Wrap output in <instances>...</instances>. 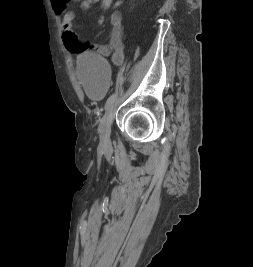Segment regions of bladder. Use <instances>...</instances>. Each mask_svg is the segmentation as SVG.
<instances>
[{"mask_svg": "<svg viewBox=\"0 0 253 267\" xmlns=\"http://www.w3.org/2000/svg\"><path fill=\"white\" fill-rule=\"evenodd\" d=\"M76 75L84 91L94 99H101L108 90L106 59L92 52L81 54L77 60Z\"/></svg>", "mask_w": 253, "mask_h": 267, "instance_id": "bladder-1", "label": "bladder"}]
</instances>
